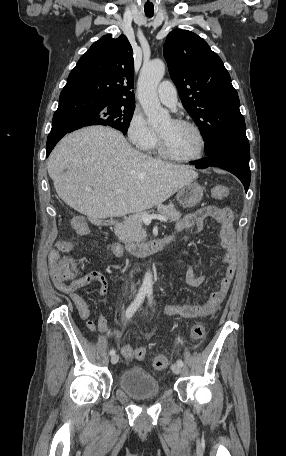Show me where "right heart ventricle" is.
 <instances>
[{
	"label": "right heart ventricle",
	"mask_w": 286,
	"mask_h": 456,
	"mask_svg": "<svg viewBox=\"0 0 286 456\" xmlns=\"http://www.w3.org/2000/svg\"><path fill=\"white\" fill-rule=\"evenodd\" d=\"M150 151H156L157 150V139L153 142V144L148 148Z\"/></svg>",
	"instance_id": "obj_1"
}]
</instances>
